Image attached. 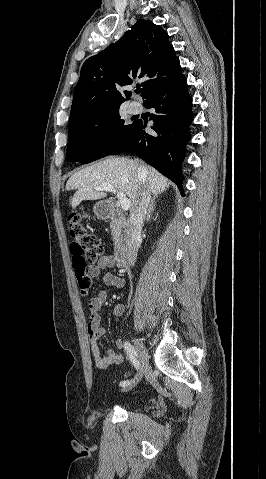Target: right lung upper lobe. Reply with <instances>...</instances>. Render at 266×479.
Instances as JSON below:
<instances>
[{
	"label": "right lung upper lobe",
	"mask_w": 266,
	"mask_h": 479,
	"mask_svg": "<svg viewBox=\"0 0 266 479\" xmlns=\"http://www.w3.org/2000/svg\"><path fill=\"white\" fill-rule=\"evenodd\" d=\"M182 74L168 34L149 20L140 19L131 30L82 65L74 91L70 121L119 108L125 101L116 87L142 83L143 99ZM129 99L131 93L124 91Z\"/></svg>",
	"instance_id": "right-lung-upper-lobe-1"
}]
</instances>
